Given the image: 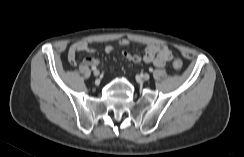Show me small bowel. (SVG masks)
<instances>
[{
    "label": "small bowel",
    "instance_id": "small-bowel-1",
    "mask_svg": "<svg viewBox=\"0 0 244 157\" xmlns=\"http://www.w3.org/2000/svg\"><path fill=\"white\" fill-rule=\"evenodd\" d=\"M118 46H127L130 44V40L127 38L120 39L117 42ZM114 50V46L107 45L105 47V51L107 53H111ZM88 52L92 53L94 49L90 45L88 41L80 40L72 44L69 49L68 59L72 65L77 64V54L79 52ZM122 55L135 63L145 62L148 64H153L156 67H163L168 62L173 59V54L171 49L167 45L163 44H149L145 47V53L143 56L139 55L137 52L130 53V52H123ZM84 64L89 66L100 65L101 62L98 58L88 56L83 60Z\"/></svg>",
    "mask_w": 244,
    "mask_h": 157
}]
</instances>
